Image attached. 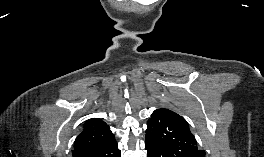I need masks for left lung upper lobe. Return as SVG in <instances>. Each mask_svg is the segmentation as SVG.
<instances>
[{"instance_id":"1","label":"left lung upper lobe","mask_w":264,"mask_h":157,"mask_svg":"<svg viewBox=\"0 0 264 157\" xmlns=\"http://www.w3.org/2000/svg\"><path fill=\"white\" fill-rule=\"evenodd\" d=\"M145 142L153 143L165 152V157H206L197 147L187 121L177 113L160 108L147 122Z\"/></svg>"}]
</instances>
